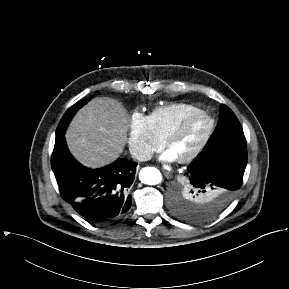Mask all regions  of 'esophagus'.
<instances>
[{"mask_svg": "<svg viewBox=\"0 0 289 289\" xmlns=\"http://www.w3.org/2000/svg\"><path fill=\"white\" fill-rule=\"evenodd\" d=\"M164 175L167 177V178H171L172 177V174L168 171H164Z\"/></svg>", "mask_w": 289, "mask_h": 289, "instance_id": "34e87169", "label": "esophagus"}]
</instances>
